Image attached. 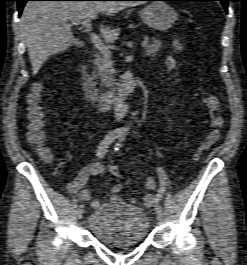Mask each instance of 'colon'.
<instances>
[{"mask_svg":"<svg viewBox=\"0 0 247 265\" xmlns=\"http://www.w3.org/2000/svg\"><path fill=\"white\" fill-rule=\"evenodd\" d=\"M182 49L181 43L175 42L173 45V54L168 58V64L176 74L178 72L179 57L182 53ZM41 91V85H36L33 92L28 96V140L31 144L38 148L41 157L47 160L50 158V151L44 145L46 141V119L42 106ZM198 96L210 107L212 117L211 130L200 144L196 157L201 156L205 151L209 150L220 140L224 126V119L220 114V105L218 100L213 95L206 92H198ZM109 170L113 176H121V171L118 166L111 165Z\"/></svg>","mask_w":247,"mask_h":265,"instance_id":"colon-1","label":"colon"}]
</instances>
